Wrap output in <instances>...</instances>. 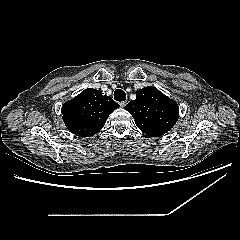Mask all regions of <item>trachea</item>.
I'll use <instances>...</instances> for the list:
<instances>
[{"mask_svg":"<svg viewBox=\"0 0 240 240\" xmlns=\"http://www.w3.org/2000/svg\"><path fill=\"white\" fill-rule=\"evenodd\" d=\"M114 99L116 101H125L126 100V93L124 90L122 89H116L115 92H114Z\"/></svg>","mask_w":240,"mask_h":240,"instance_id":"3493384b","label":"trachea"}]
</instances>
